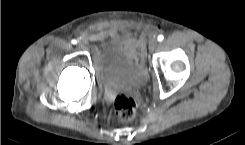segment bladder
I'll use <instances>...</instances> for the list:
<instances>
[{"instance_id": "obj_1", "label": "bladder", "mask_w": 245, "mask_h": 145, "mask_svg": "<svg viewBox=\"0 0 245 145\" xmlns=\"http://www.w3.org/2000/svg\"><path fill=\"white\" fill-rule=\"evenodd\" d=\"M94 67L104 87L113 84L122 91H134L147 80L137 43L122 34L110 35L102 41Z\"/></svg>"}]
</instances>
